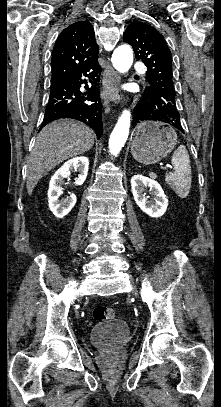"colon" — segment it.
<instances>
[{
  "label": "colon",
  "mask_w": 221,
  "mask_h": 407,
  "mask_svg": "<svg viewBox=\"0 0 221 407\" xmlns=\"http://www.w3.org/2000/svg\"><path fill=\"white\" fill-rule=\"evenodd\" d=\"M93 317L98 322L113 320L115 318V311L107 306H96L93 310Z\"/></svg>",
  "instance_id": "5ec220e1"
}]
</instances>
